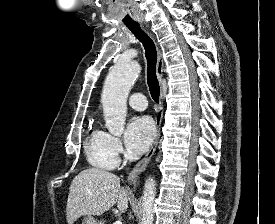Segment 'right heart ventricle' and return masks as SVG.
I'll return each instance as SVG.
<instances>
[{
  "label": "right heart ventricle",
  "instance_id": "e07e8e85",
  "mask_svg": "<svg viewBox=\"0 0 275 224\" xmlns=\"http://www.w3.org/2000/svg\"><path fill=\"white\" fill-rule=\"evenodd\" d=\"M85 154L90 165L103 170L114 169L117 156L109 146L108 133L99 127H91L85 138Z\"/></svg>",
  "mask_w": 275,
  "mask_h": 224
}]
</instances>
